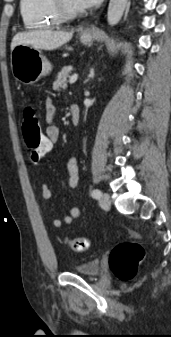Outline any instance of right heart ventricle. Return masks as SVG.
<instances>
[{
    "mask_svg": "<svg viewBox=\"0 0 171 337\" xmlns=\"http://www.w3.org/2000/svg\"><path fill=\"white\" fill-rule=\"evenodd\" d=\"M20 12L29 29H48L62 23L53 0H20Z\"/></svg>",
    "mask_w": 171,
    "mask_h": 337,
    "instance_id": "1",
    "label": "right heart ventricle"
}]
</instances>
